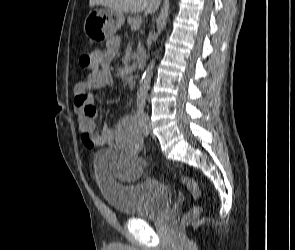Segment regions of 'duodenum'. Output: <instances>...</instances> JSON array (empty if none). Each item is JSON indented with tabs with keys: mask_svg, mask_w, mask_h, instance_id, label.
<instances>
[{
	"mask_svg": "<svg viewBox=\"0 0 295 250\" xmlns=\"http://www.w3.org/2000/svg\"><path fill=\"white\" fill-rule=\"evenodd\" d=\"M135 61L139 69H144L146 67V54L143 51H139L135 55Z\"/></svg>",
	"mask_w": 295,
	"mask_h": 250,
	"instance_id": "410a0bca",
	"label": "duodenum"
}]
</instances>
